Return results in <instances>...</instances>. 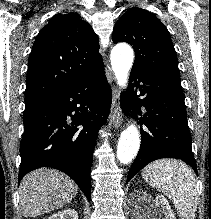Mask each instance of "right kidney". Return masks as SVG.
I'll use <instances>...</instances> for the list:
<instances>
[{"instance_id": "right-kidney-1", "label": "right kidney", "mask_w": 211, "mask_h": 219, "mask_svg": "<svg viewBox=\"0 0 211 219\" xmlns=\"http://www.w3.org/2000/svg\"><path fill=\"white\" fill-rule=\"evenodd\" d=\"M47 219H78V213L74 209H65L53 214Z\"/></svg>"}]
</instances>
